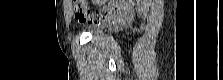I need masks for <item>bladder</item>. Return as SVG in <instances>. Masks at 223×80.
<instances>
[{"instance_id": "1", "label": "bladder", "mask_w": 223, "mask_h": 80, "mask_svg": "<svg viewBox=\"0 0 223 80\" xmlns=\"http://www.w3.org/2000/svg\"><path fill=\"white\" fill-rule=\"evenodd\" d=\"M103 29H104V26H97V27H95V28L92 30V32H93L94 34H97V33L102 32Z\"/></svg>"}]
</instances>
